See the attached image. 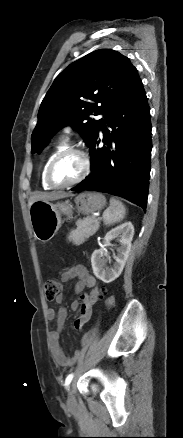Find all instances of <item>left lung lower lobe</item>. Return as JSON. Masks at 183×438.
<instances>
[{
  "label": "left lung lower lobe",
  "instance_id": "obj_1",
  "mask_svg": "<svg viewBox=\"0 0 183 438\" xmlns=\"http://www.w3.org/2000/svg\"><path fill=\"white\" fill-rule=\"evenodd\" d=\"M105 120L112 131L110 133L105 125H100L89 146L92 172L72 190L106 192L146 210L152 127L150 108L139 77L108 112ZM100 130L105 135L103 142L107 147H96ZM112 143L115 148H112Z\"/></svg>",
  "mask_w": 183,
  "mask_h": 438
}]
</instances>
